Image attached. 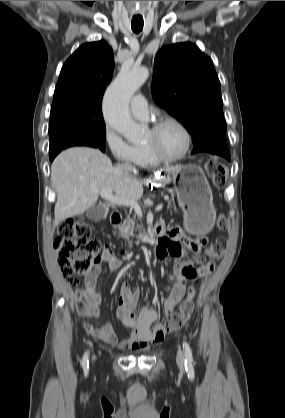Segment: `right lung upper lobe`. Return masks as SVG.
<instances>
[{"label":"right lung upper lobe","instance_id":"cb5924a9","mask_svg":"<svg viewBox=\"0 0 285 418\" xmlns=\"http://www.w3.org/2000/svg\"><path fill=\"white\" fill-rule=\"evenodd\" d=\"M114 69L113 51L103 40L80 46L63 65L52 105L101 106Z\"/></svg>","mask_w":285,"mask_h":418}]
</instances>
